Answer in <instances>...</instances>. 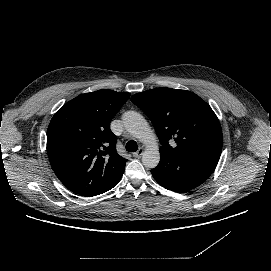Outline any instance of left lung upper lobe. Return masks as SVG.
Here are the masks:
<instances>
[{"label": "left lung upper lobe", "instance_id": "5c2ea615", "mask_svg": "<svg viewBox=\"0 0 271 271\" xmlns=\"http://www.w3.org/2000/svg\"><path fill=\"white\" fill-rule=\"evenodd\" d=\"M153 123L160 150L219 160L223 137L211 107L186 90L156 88L132 96Z\"/></svg>", "mask_w": 271, "mask_h": 271}]
</instances>
